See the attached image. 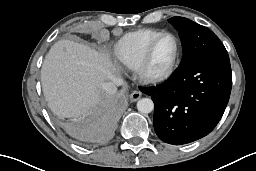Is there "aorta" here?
Wrapping results in <instances>:
<instances>
[{
  "mask_svg": "<svg viewBox=\"0 0 256 171\" xmlns=\"http://www.w3.org/2000/svg\"><path fill=\"white\" fill-rule=\"evenodd\" d=\"M137 109L142 114L151 113L154 109V103L150 98H142L137 102Z\"/></svg>",
  "mask_w": 256,
  "mask_h": 171,
  "instance_id": "aorta-1",
  "label": "aorta"
}]
</instances>
